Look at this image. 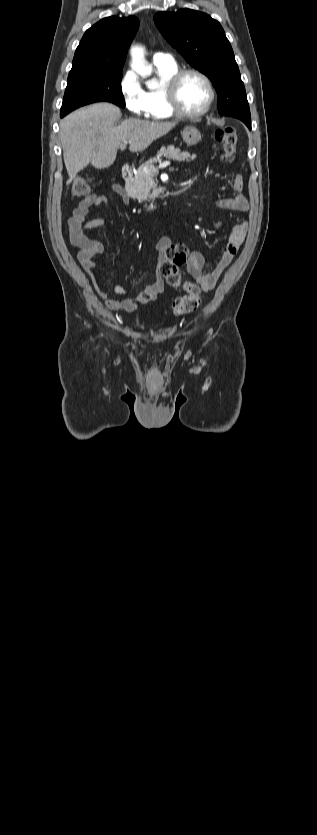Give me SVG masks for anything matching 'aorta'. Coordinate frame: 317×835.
<instances>
[{
  "label": "aorta",
  "instance_id": "762f6f07",
  "mask_svg": "<svg viewBox=\"0 0 317 835\" xmlns=\"http://www.w3.org/2000/svg\"><path fill=\"white\" fill-rule=\"evenodd\" d=\"M132 55V63L131 67L134 69L142 78H146L152 73V68L147 65L145 57H144V49L142 47H134L131 50ZM148 88H156L158 86V82L156 79H151L146 82Z\"/></svg>",
  "mask_w": 317,
  "mask_h": 835
}]
</instances>
